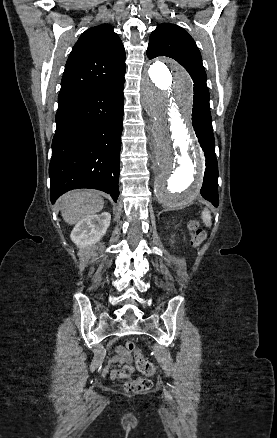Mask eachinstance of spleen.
<instances>
[{"label":"spleen","mask_w":277,"mask_h":438,"mask_svg":"<svg viewBox=\"0 0 277 438\" xmlns=\"http://www.w3.org/2000/svg\"><path fill=\"white\" fill-rule=\"evenodd\" d=\"M202 220H203L205 226H207V228H210V226H211V214H210L209 210H207V208H204V210L202 212Z\"/></svg>","instance_id":"spleen-1"}]
</instances>
